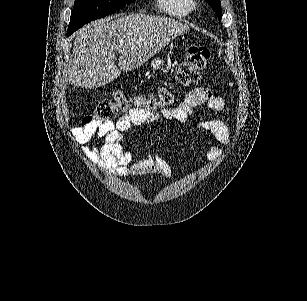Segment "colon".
Here are the masks:
<instances>
[{
    "label": "colon",
    "mask_w": 307,
    "mask_h": 301,
    "mask_svg": "<svg viewBox=\"0 0 307 301\" xmlns=\"http://www.w3.org/2000/svg\"><path fill=\"white\" fill-rule=\"evenodd\" d=\"M210 59L208 48L200 45H192L187 49L186 59L177 70L176 79L182 86L192 85L200 79L201 72L204 70ZM173 100V95L169 89L163 88L158 98L154 96L137 95L128 99L124 93L118 92L113 100L104 99L98 102L93 112L86 115L82 123L90 124L93 122H108L118 114L125 112L130 106L135 108L156 110L160 106L169 105Z\"/></svg>",
    "instance_id": "1"
}]
</instances>
